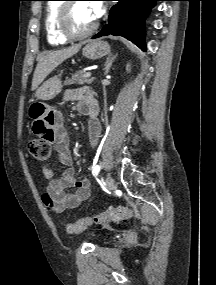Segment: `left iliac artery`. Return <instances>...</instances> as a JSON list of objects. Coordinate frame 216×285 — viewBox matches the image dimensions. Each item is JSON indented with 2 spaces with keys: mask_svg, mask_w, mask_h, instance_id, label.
Instances as JSON below:
<instances>
[{
  "mask_svg": "<svg viewBox=\"0 0 216 285\" xmlns=\"http://www.w3.org/2000/svg\"><path fill=\"white\" fill-rule=\"evenodd\" d=\"M100 169H101V166L100 165H96L94 168H93V173L95 176H97L100 172Z\"/></svg>",
  "mask_w": 216,
  "mask_h": 285,
  "instance_id": "44dca946",
  "label": "left iliac artery"
}]
</instances>
